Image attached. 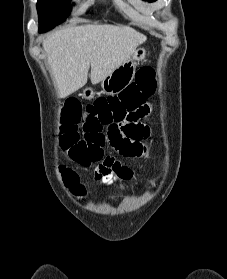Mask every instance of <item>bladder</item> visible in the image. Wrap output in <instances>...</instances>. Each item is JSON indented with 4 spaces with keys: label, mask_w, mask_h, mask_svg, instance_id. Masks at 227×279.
Segmentation results:
<instances>
[{
    "label": "bladder",
    "mask_w": 227,
    "mask_h": 279,
    "mask_svg": "<svg viewBox=\"0 0 227 279\" xmlns=\"http://www.w3.org/2000/svg\"><path fill=\"white\" fill-rule=\"evenodd\" d=\"M121 196L120 195H117V194H112V195H109L105 198L104 200V203L106 205H111L113 204L115 201H117L118 199H120Z\"/></svg>",
    "instance_id": "bladder-1"
}]
</instances>
